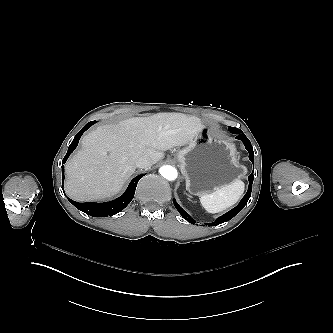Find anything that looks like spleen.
I'll list each match as a JSON object with an SVG mask.
<instances>
[{"label":"spleen","instance_id":"3e777b00","mask_svg":"<svg viewBox=\"0 0 333 333\" xmlns=\"http://www.w3.org/2000/svg\"><path fill=\"white\" fill-rule=\"evenodd\" d=\"M245 190V184L237 179L212 193H206L200 197V202L209 213L222 212L235 205Z\"/></svg>","mask_w":333,"mask_h":333}]
</instances>
